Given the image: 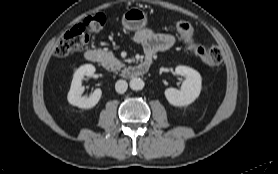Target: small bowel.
<instances>
[{
  "mask_svg": "<svg viewBox=\"0 0 278 174\" xmlns=\"http://www.w3.org/2000/svg\"><path fill=\"white\" fill-rule=\"evenodd\" d=\"M134 41L139 43L146 57L171 49L175 43V36L167 33H159L153 30H140L134 34Z\"/></svg>",
  "mask_w": 278,
  "mask_h": 174,
  "instance_id": "obj_1",
  "label": "small bowel"
}]
</instances>
